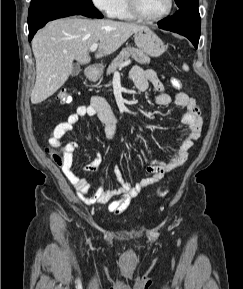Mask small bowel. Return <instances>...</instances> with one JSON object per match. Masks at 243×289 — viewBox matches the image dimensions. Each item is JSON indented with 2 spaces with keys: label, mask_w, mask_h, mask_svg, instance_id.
<instances>
[{
  "label": "small bowel",
  "mask_w": 243,
  "mask_h": 289,
  "mask_svg": "<svg viewBox=\"0 0 243 289\" xmlns=\"http://www.w3.org/2000/svg\"><path fill=\"white\" fill-rule=\"evenodd\" d=\"M136 88L144 92L152 85L158 92L155 102L158 106H168L172 102L171 96L165 92V88L157 74L150 69H143L139 66L133 67L129 74ZM177 106L185 109L181 121L186 127V133L180 142L179 148L168 161H149L146 171L148 176L141 179L134 185L130 184L123 177L118 166H114V187L105 189V178L100 174L101 156L96 155L95 159L84 165L82 170L99 173L100 185L93 189L91 184L78 176L72 168L73 153L78 148L76 141H69L62 144V139L72 131L73 127L84 117H97L103 125L104 133L109 140L117 136L118 119L111 111L107 101L101 96L92 97L89 105H79L75 112L70 114L66 121L57 124L50 132L49 143L53 148H59L63 162L61 170L70 184L74 187L78 199L86 205L96 203H108L106 210L113 214L124 212L135 198L146 187L156 184L162 180L166 173H169L181 166L188 157L189 151L194 142L199 139L202 129V118L198 105L194 98L186 93L179 92L174 96Z\"/></svg>",
  "instance_id": "obj_1"
}]
</instances>
